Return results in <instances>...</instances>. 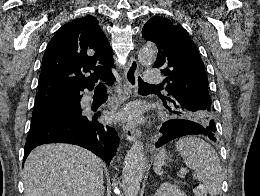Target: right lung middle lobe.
I'll use <instances>...</instances> for the list:
<instances>
[{
    "instance_id": "right-lung-middle-lobe-1",
    "label": "right lung middle lobe",
    "mask_w": 260,
    "mask_h": 196,
    "mask_svg": "<svg viewBox=\"0 0 260 196\" xmlns=\"http://www.w3.org/2000/svg\"><path fill=\"white\" fill-rule=\"evenodd\" d=\"M81 116V112L56 109L53 107V104L41 107H34L30 131L39 129L47 125L74 120Z\"/></svg>"
}]
</instances>
